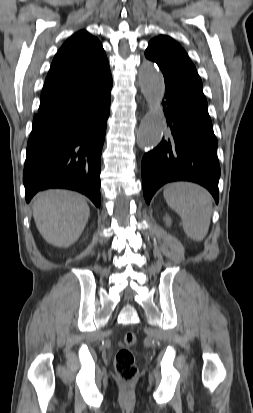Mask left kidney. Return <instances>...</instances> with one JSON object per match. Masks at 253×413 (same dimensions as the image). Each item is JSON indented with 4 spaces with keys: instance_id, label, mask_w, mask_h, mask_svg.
Masks as SVG:
<instances>
[{
    "instance_id": "1",
    "label": "left kidney",
    "mask_w": 253,
    "mask_h": 413,
    "mask_svg": "<svg viewBox=\"0 0 253 413\" xmlns=\"http://www.w3.org/2000/svg\"><path fill=\"white\" fill-rule=\"evenodd\" d=\"M164 221L166 222V224H167L168 226L171 225L172 220H171V218H170L168 215H166V216L164 217Z\"/></svg>"
}]
</instances>
